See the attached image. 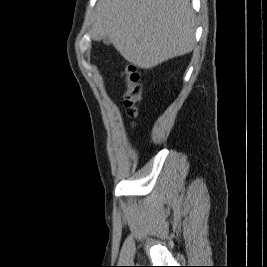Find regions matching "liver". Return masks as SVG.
Returning a JSON list of instances; mask_svg holds the SVG:
<instances>
[{"label": "liver", "instance_id": "1", "mask_svg": "<svg viewBox=\"0 0 267 267\" xmlns=\"http://www.w3.org/2000/svg\"><path fill=\"white\" fill-rule=\"evenodd\" d=\"M195 26L189 0H99L92 38L108 37L131 64L152 69L191 52Z\"/></svg>", "mask_w": 267, "mask_h": 267}]
</instances>
